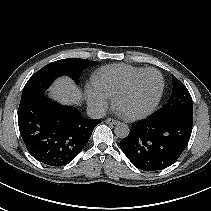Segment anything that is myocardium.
Here are the masks:
<instances>
[{"label":"myocardium","instance_id":"myocardium-1","mask_svg":"<svg viewBox=\"0 0 211 211\" xmlns=\"http://www.w3.org/2000/svg\"><path fill=\"white\" fill-rule=\"evenodd\" d=\"M149 72H156L161 77V88H160V91H159L155 101L153 102V104L149 108H147L146 110L141 111V112H137V113H126V112L121 111L119 109L120 100L124 96L129 94L134 89V87L138 83V81L145 74H147ZM164 89H165V78H164L163 74L156 68H147V69L143 70L142 72H140L139 74H137L136 76H134L120 91L117 92V94L114 96V104L126 118H128V119H140V118L148 116L149 114H151L157 108V106L159 105V103L162 99Z\"/></svg>","mask_w":211,"mask_h":211}]
</instances>
